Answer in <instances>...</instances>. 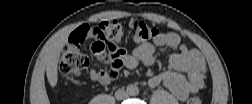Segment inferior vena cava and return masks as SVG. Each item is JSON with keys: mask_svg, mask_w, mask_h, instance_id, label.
I'll list each match as a JSON object with an SVG mask.
<instances>
[{"mask_svg": "<svg viewBox=\"0 0 252 104\" xmlns=\"http://www.w3.org/2000/svg\"><path fill=\"white\" fill-rule=\"evenodd\" d=\"M127 97V93L125 90L123 89H118L116 92H115V98L117 100H124L125 98Z\"/></svg>", "mask_w": 252, "mask_h": 104, "instance_id": "obj_1", "label": "inferior vena cava"}]
</instances>
